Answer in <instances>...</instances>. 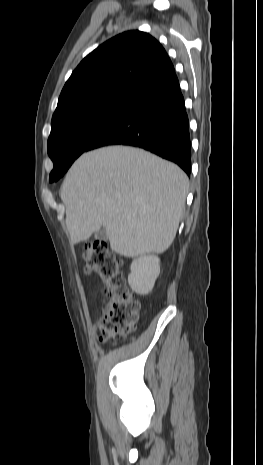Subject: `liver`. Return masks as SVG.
<instances>
[{
    "label": "liver",
    "instance_id": "1",
    "mask_svg": "<svg viewBox=\"0 0 263 465\" xmlns=\"http://www.w3.org/2000/svg\"><path fill=\"white\" fill-rule=\"evenodd\" d=\"M188 185L177 165L142 149L109 146L84 153L61 187L71 242L104 226L120 255L163 253L176 236Z\"/></svg>",
    "mask_w": 263,
    "mask_h": 465
}]
</instances>
